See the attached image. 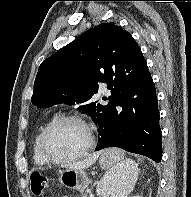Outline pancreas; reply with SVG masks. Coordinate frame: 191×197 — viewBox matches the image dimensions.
<instances>
[{"mask_svg": "<svg viewBox=\"0 0 191 197\" xmlns=\"http://www.w3.org/2000/svg\"><path fill=\"white\" fill-rule=\"evenodd\" d=\"M82 197H90L87 193H84Z\"/></svg>", "mask_w": 191, "mask_h": 197, "instance_id": "1", "label": "pancreas"}]
</instances>
